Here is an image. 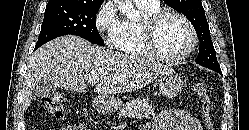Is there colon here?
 <instances>
[{
    "label": "colon",
    "mask_w": 249,
    "mask_h": 130,
    "mask_svg": "<svg viewBox=\"0 0 249 130\" xmlns=\"http://www.w3.org/2000/svg\"><path fill=\"white\" fill-rule=\"evenodd\" d=\"M193 92L199 100V111L205 127V130H214V124L211 115L210 98L205 85L196 83L193 85ZM44 110L55 118L64 116V97L60 93L42 99Z\"/></svg>",
    "instance_id": "obj_1"
}]
</instances>
